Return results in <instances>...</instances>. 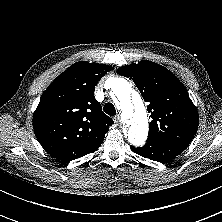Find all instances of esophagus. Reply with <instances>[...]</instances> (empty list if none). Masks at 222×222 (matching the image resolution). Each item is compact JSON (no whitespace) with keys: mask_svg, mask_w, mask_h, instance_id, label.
Segmentation results:
<instances>
[{"mask_svg":"<svg viewBox=\"0 0 222 222\" xmlns=\"http://www.w3.org/2000/svg\"><path fill=\"white\" fill-rule=\"evenodd\" d=\"M114 123H115L116 125H119V123H120V116H119V115H117V116L114 117Z\"/></svg>","mask_w":222,"mask_h":222,"instance_id":"34e87169","label":"esophagus"}]
</instances>
